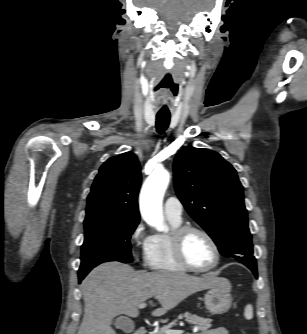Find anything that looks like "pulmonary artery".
<instances>
[{
	"label": "pulmonary artery",
	"instance_id": "pulmonary-artery-1",
	"mask_svg": "<svg viewBox=\"0 0 307 334\" xmlns=\"http://www.w3.org/2000/svg\"><path fill=\"white\" fill-rule=\"evenodd\" d=\"M183 207L180 200L176 197H169L164 203V214L167 219L173 222L182 221Z\"/></svg>",
	"mask_w": 307,
	"mask_h": 334
}]
</instances>
